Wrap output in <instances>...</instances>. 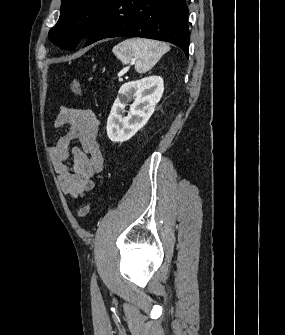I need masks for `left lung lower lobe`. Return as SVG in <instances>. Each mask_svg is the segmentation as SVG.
Instances as JSON below:
<instances>
[{
    "mask_svg": "<svg viewBox=\"0 0 285 335\" xmlns=\"http://www.w3.org/2000/svg\"><path fill=\"white\" fill-rule=\"evenodd\" d=\"M186 0H111L88 32L84 46L111 37L170 42L188 58L190 34Z\"/></svg>",
    "mask_w": 285,
    "mask_h": 335,
    "instance_id": "0a47b994",
    "label": "left lung lower lobe"
}]
</instances>
